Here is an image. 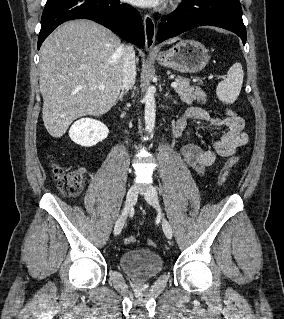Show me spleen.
<instances>
[{
    "mask_svg": "<svg viewBox=\"0 0 284 319\" xmlns=\"http://www.w3.org/2000/svg\"><path fill=\"white\" fill-rule=\"evenodd\" d=\"M243 69L240 63H234L227 72L226 78L216 88V95L226 104L233 103L239 96L243 83Z\"/></svg>",
    "mask_w": 284,
    "mask_h": 319,
    "instance_id": "spleen-1",
    "label": "spleen"
}]
</instances>
